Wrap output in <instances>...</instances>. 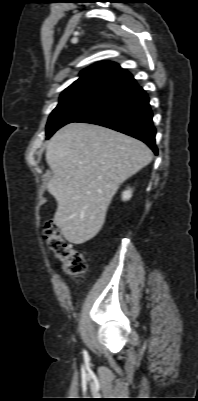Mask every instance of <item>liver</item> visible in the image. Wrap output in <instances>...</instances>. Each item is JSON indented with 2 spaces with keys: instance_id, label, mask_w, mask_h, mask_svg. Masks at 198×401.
Here are the masks:
<instances>
[{
  "instance_id": "6515ba94",
  "label": "liver",
  "mask_w": 198,
  "mask_h": 401,
  "mask_svg": "<svg viewBox=\"0 0 198 401\" xmlns=\"http://www.w3.org/2000/svg\"><path fill=\"white\" fill-rule=\"evenodd\" d=\"M53 176L48 192L57 201L54 223L70 243L82 244L101 230L120 185L152 160L143 142L86 123L58 130L46 148Z\"/></svg>"
}]
</instances>
